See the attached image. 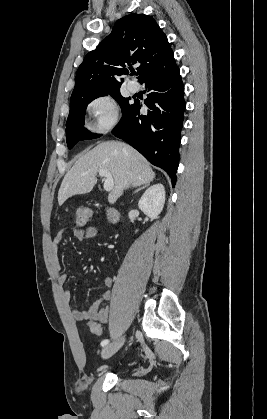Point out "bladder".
Segmentation results:
<instances>
[{"label":"bladder","instance_id":"obj_1","mask_svg":"<svg viewBox=\"0 0 267 419\" xmlns=\"http://www.w3.org/2000/svg\"><path fill=\"white\" fill-rule=\"evenodd\" d=\"M115 372H116L117 374H120V373H122V372H123V368H122V367H117V368L115 369Z\"/></svg>","mask_w":267,"mask_h":419}]
</instances>
